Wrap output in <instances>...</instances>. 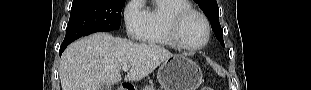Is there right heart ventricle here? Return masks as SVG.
<instances>
[{
    "mask_svg": "<svg viewBox=\"0 0 311 90\" xmlns=\"http://www.w3.org/2000/svg\"><path fill=\"white\" fill-rule=\"evenodd\" d=\"M187 0H155L145 10V27L141 40L148 44H156L177 48L171 31L172 17L181 10L191 9Z\"/></svg>",
    "mask_w": 311,
    "mask_h": 90,
    "instance_id": "e07e8e85",
    "label": "right heart ventricle"
}]
</instances>
